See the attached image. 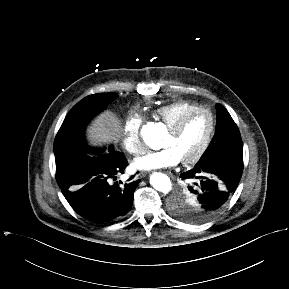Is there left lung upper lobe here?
<instances>
[{"mask_svg":"<svg viewBox=\"0 0 289 289\" xmlns=\"http://www.w3.org/2000/svg\"><path fill=\"white\" fill-rule=\"evenodd\" d=\"M217 124L213 139L195 165L206 166L222 160H243V145L240 132L228 111L217 104ZM189 190V188H188ZM181 191L171 203V212L177 218L190 222L202 223L208 220L200 218L196 203L190 190Z\"/></svg>","mask_w":289,"mask_h":289,"instance_id":"left-lung-upper-lobe-1","label":"left lung upper lobe"}]
</instances>
